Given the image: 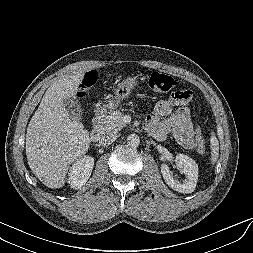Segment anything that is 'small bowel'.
<instances>
[{
  "instance_id": "c3829d8e",
  "label": "small bowel",
  "mask_w": 253,
  "mask_h": 253,
  "mask_svg": "<svg viewBox=\"0 0 253 253\" xmlns=\"http://www.w3.org/2000/svg\"><path fill=\"white\" fill-rule=\"evenodd\" d=\"M186 102L177 100L173 96L157 102L153 113L147 116L146 130L157 140L163 141L172 134L176 141L186 148H196V130ZM182 105L174 111V108Z\"/></svg>"
}]
</instances>
